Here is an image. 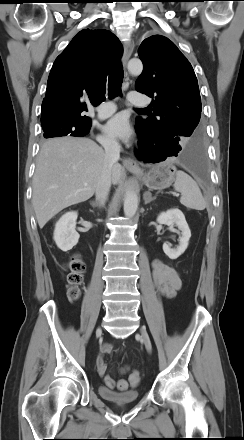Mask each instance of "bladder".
Listing matches in <instances>:
<instances>
[{"label":"bladder","instance_id":"obj_1","mask_svg":"<svg viewBox=\"0 0 244 440\" xmlns=\"http://www.w3.org/2000/svg\"><path fill=\"white\" fill-rule=\"evenodd\" d=\"M98 393L101 398L114 404H129L134 403L139 399V391L136 389L117 392L101 385L98 387Z\"/></svg>","mask_w":244,"mask_h":440}]
</instances>
